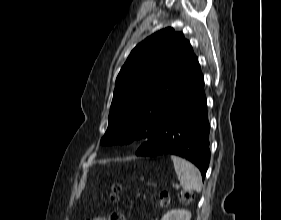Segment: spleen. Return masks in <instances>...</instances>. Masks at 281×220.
<instances>
[{"label":"spleen","instance_id":"spleen-1","mask_svg":"<svg viewBox=\"0 0 281 220\" xmlns=\"http://www.w3.org/2000/svg\"><path fill=\"white\" fill-rule=\"evenodd\" d=\"M171 159L174 164V169L177 177L184 190H195L200 192L202 190V178L200 171L189 161L172 155Z\"/></svg>","mask_w":281,"mask_h":220}]
</instances>
